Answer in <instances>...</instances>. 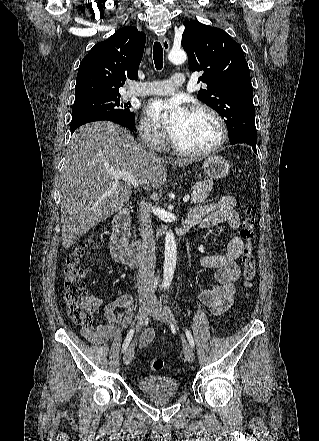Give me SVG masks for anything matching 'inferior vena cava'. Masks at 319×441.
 <instances>
[{"instance_id": "inferior-vena-cava-1", "label": "inferior vena cava", "mask_w": 319, "mask_h": 441, "mask_svg": "<svg viewBox=\"0 0 319 441\" xmlns=\"http://www.w3.org/2000/svg\"><path fill=\"white\" fill-rule=\"evenodd\" d=\"M153 154V153H152ZM141 227L139 229L143 241L142 260L138 272L139 296L154 297V269L156 263L154 232L148 207L142 203L138 210Z\"/></svg>"}]
</instances>
